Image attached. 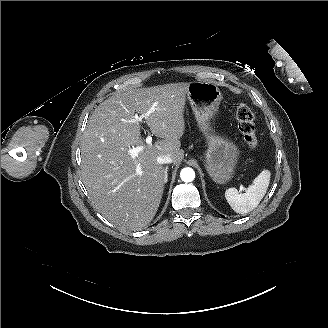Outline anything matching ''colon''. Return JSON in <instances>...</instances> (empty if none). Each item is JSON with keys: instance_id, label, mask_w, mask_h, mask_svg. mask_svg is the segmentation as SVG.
I'll return each mask as SVG.
<instances>
[{"instance_id": "5ec220e1", "label": "colon", "mask_w": 328, "mask_h": 328, "mask_svg": "<svg viewBox=\"0 0 328 328\" xmlns=\"http://www.w3.org/2000/svg\"><path fill=\"white\" fill-rule=\"evenodd\" d=\"M235 110L238 129L244 141L251 150H256L259 146V141L256 135L254 112L244 103L237 104Z\"/></svg>"}]
</instances>
